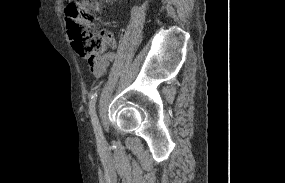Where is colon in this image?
Segmentation results:
<instances>
[{
  "mask_svg": "<svg viewBox=\"0 0 285 183\" xmlns=\"http://www.w3.org/2000/svg\"><path fill=\"white\" fill-rule=\"evenodd\" d=\"M65 23L71 44L80 56L91 62L110 53L113 43L111 33L99 30L90 13L79 11L77 1L67 6Z\"/></svg>",
  "mask_w": 285,
  "mask_h": 183,
  "instance_id": "obj_1",
  "label": "colon"
}]
</instances>
